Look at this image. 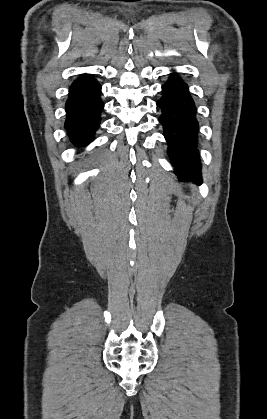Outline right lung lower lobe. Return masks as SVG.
<instances>
[{
	"mask_svg": "<svg viewBox=\"0 0 267 419\" xmlns=\"http://www.w3.org/2000/svg\"><path fill=\"white\" fill-rule=\"evenodd\" d=\"M100 94L101 85L91 74H82L69 87L65 129L70 141L77 147L86 146L94 140L104 107Z\"/></svg>",
	"mask_w": 267,
	"mask_h": 419,
	"instance_id": "98d812e1",
	"label": "right lung lower lobe"
}]
</instances>
